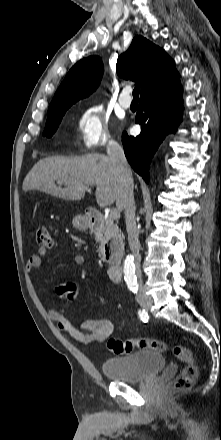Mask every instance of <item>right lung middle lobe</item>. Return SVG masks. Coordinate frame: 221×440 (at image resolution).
<instances>
[{
    "instance_id": "obj_1",
    "label": "right lung middle lobe",
    "mask_w": 221,
    "mask_h": 440,
    "mask_svg": "<svg viewBox=\"0 0 221 440\" xmlns=\"http://www.w3.org/2000/svg\"><path fill=\"white\" fill-rule=\"evenodd\" d=\"M70 106L48 110V118L43 136L51 137L57 130L65 112Z\"/></svg>"
}]
</instances>
